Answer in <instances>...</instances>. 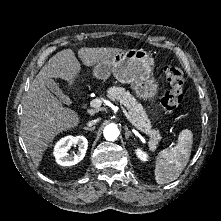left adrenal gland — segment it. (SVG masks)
<instances>
[{
	"instance_id": "left-adrenal-gland-1",
	"label": "left adrenal gland",
	"mask_w": 221,
	"mask_h": 221,
	"mask_svg": "<svg viewBox=\"0 0 221 221\" xmlns=\"http://www.w3.org/2000/svg\"><path fill=\"white\" fill-rule=\"evenodd\" d=\"M124 129H125V138H126V140H128L129 137H133L132 132L128 129L127 126H125Z\"/></svg>"
}]
</instances>
